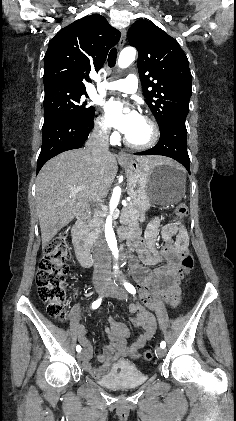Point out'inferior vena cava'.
Listing matches in <instances>:
<instances>
[{"instance_id": "obj_1", "label": "inferior vena cava", "mask_w": 236, "mask_h": 421, "mask_svg": "<svg viewBox=\"0 0 236 421\" xmlns=\"http://www.w3.org/2000/svg\"><path fill=\"white\" fill-rule=\"evenodd\" d=\"M109 134L110 130L105 126H95L87 142L86 150L90 152L93 162H101L105 152H109ZM102 204V202H100ZM95 269L99 273H111V261L106 255V245L103 239L96 243L94 251Z\"/></svg>"}]
</instances>
